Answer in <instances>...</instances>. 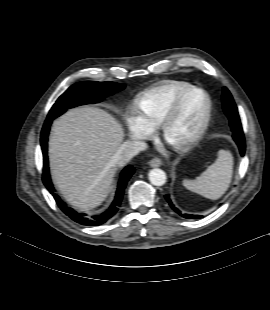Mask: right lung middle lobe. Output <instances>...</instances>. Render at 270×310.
Masks as SVG:
<instances>
[{"instance_id": "1", "label": "right lung middle lobe", "mask_w": 270, "mask_h": 310, "mask_svg": "<svg viewBox=\"0 0 270 310\" xmlns=\"http://www.w3.org/2000/svg\"><path fill=\"white\" fill-rule=\"evenodd\" d=\"M125 88L124 84L115 82L82 81L68 88L51 108L47 119H54L67 109L83 105L98 103L106 96L112 95Z\"/></svg>"}]
</instances>
